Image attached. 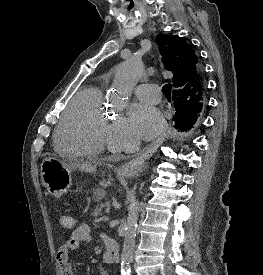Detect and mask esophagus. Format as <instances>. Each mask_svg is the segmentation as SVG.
Instances as JSON below:
<instances>
[{
    "instance_id": "1",
    "label": "esophagus",
    "mask_w": 263,
    "mask_h": 275,
    "mask_svg": "<svg viewBox=\"0 0 263 275\" xmlns=\"http://www.w3.org/2000/svg\"><path fill=\"white\" fill-rule=\"evenodd\" d=\"M166 135L167 125L163 133L156 140L150 143L139 156L123 164L120 168V172L125 176H133L140 169H142L144 162L148 160L157 151L159 146L165 140Z\"/></svg>"
}]
</instances>
